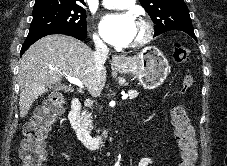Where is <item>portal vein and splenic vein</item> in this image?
<instances>
[{"label":"portal vein and splenic vein","mask_w":227,"mask_h":166,"mask_svg":"<svg viewBox=\"0 0 227 166\" xmlns=\"http://www.w3.org/2000/svg\"><path fill=\"white\" fill-rule=\"evenodd\" d=\"M66 79L71 83V84H74V85H77L80 89H83L84 86H83V83L77 79V78H73V77H66ZM128 98V94L126 95H123L122 99L125 100Z\"/></svg>","instance_id":"obj_1"}]
</instances>
